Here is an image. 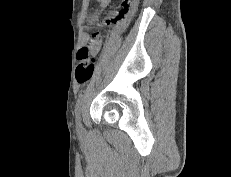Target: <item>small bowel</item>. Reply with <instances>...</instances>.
<instances>
[{"label":"small bowel","mask_w":231,"mask_h":177,"mask_svg":"<svg viewBox=\"0 0 231 177\" xmlns=\"http://www.w3.org/2000/svg\"><path fill=\"white\" fill-rule=\"evenodd\" d=\"M98 1L103 3V4H106L108 2V0H98ZM94 19L95 18L93 16H87L88 22H92V21H94ZM85 41L87 44L86 46L88 47L90 53L92 55H95L101 46V41L98 38H89V37H86Z\"/></svg>","instance_id":"small-bowel-1"}]
</instances>
